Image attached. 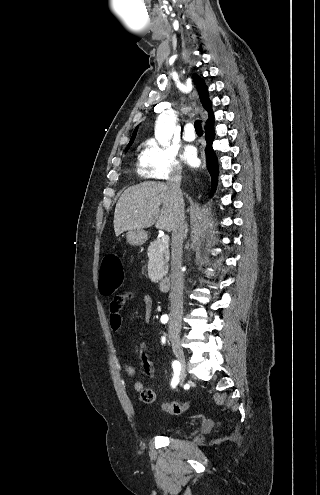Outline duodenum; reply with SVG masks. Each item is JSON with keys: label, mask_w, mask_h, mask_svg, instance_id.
<instances>
[{"label": "duodenum", "mask_w": 320, "mask_h": 495, "mask_svg": "<svg viewBox=\"0 0 320 495\" xmlns=\"http://www.w3.org/2000/svg\"><path fill=\"white\" fill-rule=\"evenodd\" d=\"M169 287H170V278L168 276H165L159 281V288L162 291H166L169 289Z\"/></svg>", "instance_id": "obj_1"}]
</instances>
